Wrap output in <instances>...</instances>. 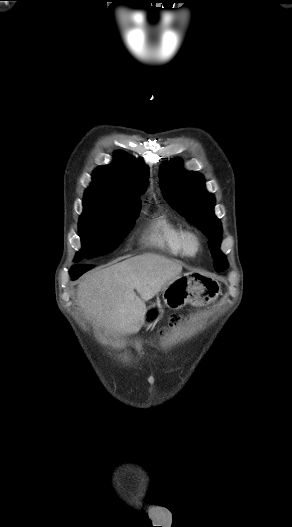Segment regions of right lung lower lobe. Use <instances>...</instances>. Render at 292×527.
Returning a JSON list of instances; mask_svg holds the SVG:
<instances>
[{"mask_svg":"<svg viewBox=\"0 0 292 527\" xmlns=\"http://www.w3.org/2000/svg\"><path fill=\"white\" fill-rule=\"evenodd\" d=\"M92 266H75L70 270V274L73 276L74 279H77L79 276H81L86 271L90 270Z\"/></svg>","mask_w":292,"mask_h":527,"instance_id":"right-lung-lower-lobe-1","label":"right lung lower lobe"}]
</instances>
